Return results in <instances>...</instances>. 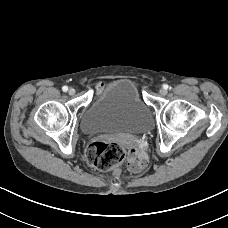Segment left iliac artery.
I'll return each instance as SVG.
<instances>
[{"instance_id": "obj_1", "label": "left iliac artery", "mask_w": 228, "mask_h": 228, "mask_svg": "<svg viewBox=\"0 0 228 228\" xmlns=\"http://www.w3.org/2000/svg\"><path fill=\"white\" fill-rule=\"evenodd\" d=\"M163 87H164V89H168V85L167 84H165Z\"/></svg>"}]
</instances>
